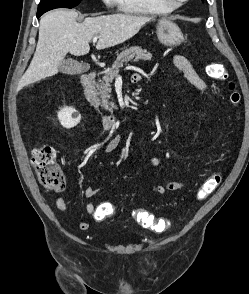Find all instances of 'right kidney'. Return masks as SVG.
I'll return each instance as SVG.
<instances>
[{
	"mask_svg": "<svg viewBox=\"0 0 249 294\" xmlns=\"http://www.w3.org/2000/svg\"><path fill=\"white\" fill-rule=\"evenodd\" d=\"M61 125L70 129L75 127L81 120V115L72 107H65L58 112Z\"/></svg>",
	"mask_w": 249,
	"mask_h": 294,
	"instance_id": "obj_1",
	"label": "right kidney"
}]
</instances>
